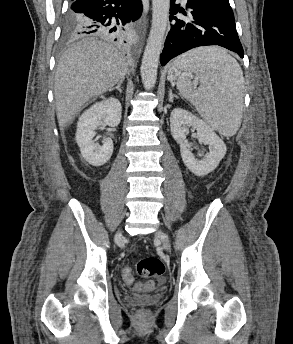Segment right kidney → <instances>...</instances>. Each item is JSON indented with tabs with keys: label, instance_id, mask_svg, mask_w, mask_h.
<instances>
[{
	"label": "right kidney",
	"instance_id": "ca27d5eb",
	"mask_svg": "<svg viewBox=\"0 0 293 344\" xmlns=\"http://www.w3.org/2000/svg\"><path fill=\"white\" fill-rule=\"evenodd\" d=\"M122 107L116 98L96 102L84 111L77 123L76 142L85 161L93 166L104 165L112 156L113 141L105 138L102 146L95 143L93 138L99 126H117L121 121Z\"/></svg>",
	"mask_w": 293,
	"mask_h": 344
}]
</instances>
